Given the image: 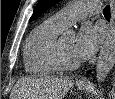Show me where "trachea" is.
Wrapping results in <instances>:
<instances>
[{"mask_svg": "<svg viewBox=\"0 0 115 99\" xmlns=\"http://www.w3.org/2000/svg\"><path fill=\"white\" fill-rule=\"evenodd\" d=\"M103 14L105 17L110 18V6H106L103 10Z\"/></svg>", "mask_w": 115, "mask_h": 99, "instance_id": "1", "label": "trachea"}]
</instances>
